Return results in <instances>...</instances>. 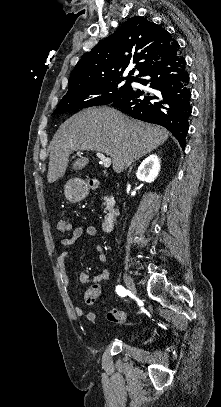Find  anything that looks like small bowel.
<instances>
[{
  "instance_id": "c3829d8e",
  "label": "small bowel",
  "mask_w": 221,
  "mask_h": 407,
  "mask_svg": "<svg viewBox=\"0 0 221 407\" xmlns=\"http://www.w3.org/2000/svg\"><path fill=\"white\" fill-rule=\"evenodd\" d=\"M90 236V237H97L98 231L97 228L93 225H88L85 228L81 226H76L73 228L71 234L68 237L61 238L58 241V248H57V258H56V265L58 268V272L60 275L61 282L65 286H69L70 280L67 273L66 263L65 260L72 254L71 246L75 244L80 237L82 236L83 232ZM97 251L100 252V260H105V255L102 252V248L100 246L97 247ZM109 278V271L107 269H103L100 272L96 273L94 276L90 277L88 273L85 271H81L78 275L79 282L83 284H99L102 281H105ZM86 293L84 295V299L86 300ZM98 297H99V288H98ZM74 312L77 316H85V318L89 321H93L96 318V315L93 312H89L84 314V310L81 306L75 305Z\"/></svg>"
}]
</instances>
